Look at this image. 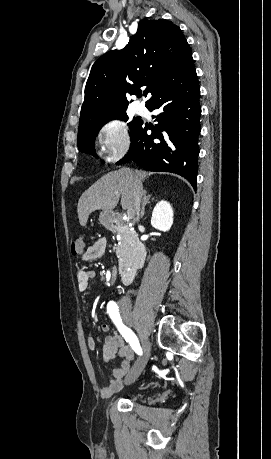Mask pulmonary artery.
<instances>
[{
	"instance_id": "pulmonary-artery-1",
	"label": "pulmonary artery",
	"mask_w": 271,
	"mask_h": 459,
	"mask_svg": "<svg viewBox=\"0 0 271 459\" xmlns=\"http://www.w3.org/2000/svg\"><path fill=\"white\" fill-rule=\"evenodd\" d=\"M134 113L144 117L149 116V111L143 103H136L134 106Z\"/></svg>"
}]
</instances>
